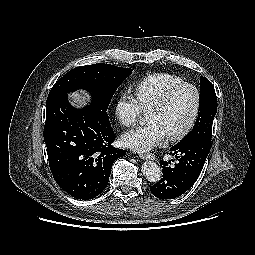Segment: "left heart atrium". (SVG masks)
<instances>
[{
  "instance_id": "39dd6f15",
  "label": "left heart atrium",
  "mask_w": 255,
  "mask_h": 255,
  "mask_svg": "<svg viewBox=\"0 0 255 255\" xmlns=\"http://www.w3.org/2000/svg\"><path fill=\"white\" fill-rule=\"evenodd\" d=\"M165 137V132L157 123H150L124 132L120 144L136 152H147L161 144Z\"/></svg>"
}]
</instances>
